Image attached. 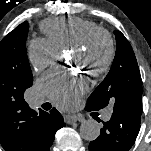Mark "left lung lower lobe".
Instances as JSON below:
<instances>
[{
  "label": "left lung lower lobe",
  "instance_id": "0a47b994",
  "mask_svg": "<svg viewBox=\"0 0 151 151\" xmlns=\"http://www.w3.org/2000/svg\"><path fill=\"white\" fill-rule=\"evenodd\" d=\"M86 110L94 111L89 106H86ZM103 125L100 136L90 142L89 151H128L138 135L140 117L125 118L113 114Z\"/></svg>",
  "mask_w": 151,
  "mask_h": 151
}]
</instances>
